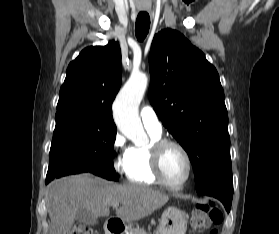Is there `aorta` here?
Masks as SVG:
<instances>
[{
  "label": "aorta",
  "instance_id": "1",
  "mask_svg": "<svg viewBox=\"0 0 279 234\" xmlns=\"http://www.w3.org/2000/svg\"><path fill=\"white\" fill-rule=\"evenodd\" d=\"M147 84L148 77L145 73H132L113 104V116L118 129L137 146L148 143L138 113Z\"/></svg>",
  "mask_w": 279,
  "mask_h": 234
}]
</instances>
